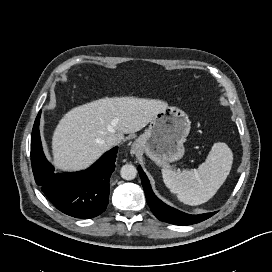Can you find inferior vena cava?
<instances>
[{
    "label": "inferior vena cava",
    "instance_id": "obj_1",
    "mask_svg": "<svg viewBox=\"0 0 272 272\" xmlns=\"http://www.w3.org/2000/svg\"><path fill=\"white\" fill-rule=\"evenodd\" d=\"M106 144L109 146V147H111V146H114V145H116L117 143H119V138H118V136L117 135H115V134H112V135H110V136H108L107 138H106Z\"/></svg>",
    "mask_w": 272,
    "mask_h": 272
}]
</instances>
